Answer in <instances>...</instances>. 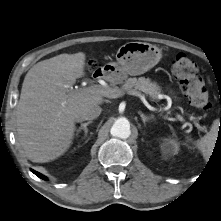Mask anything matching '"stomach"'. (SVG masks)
<instances>
[{
  "label": "stomach",
  "instance_id": "0dacf381",
  "mask_svg": "<svg viewBox=\"0 0 221 221\" xmlns=\"http://www.w3.org/2000/svg\"><path fill=\"white\" fill-rule=\"evenodd\" d=\"M162 58L161 50L145 42H128L116 54L117 62L108 63L106 72L115 83H122L128 75H141L153 68Z\"/></svg>",
  "mask_w": 221,
  "mask_h": 221
}]
</instances>
